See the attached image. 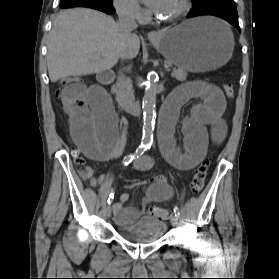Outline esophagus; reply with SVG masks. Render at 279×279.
<instances>
[{
    "mask_svg": "<svg viewBox=\"0 0 279 279\" xmlns=\"http://www.w3.org/2000/svg\"><path fill=\"white\" fill-rule=\"evenodd\" d=\"M160 36V33L157 31H151L148 33V38L150 40L157 39Z\"/></svg>",
    "mask_w": 279,
    "mask_h": 279,
    "instance_id": "1",
    "label": "esophagus"
}]
</instances>
